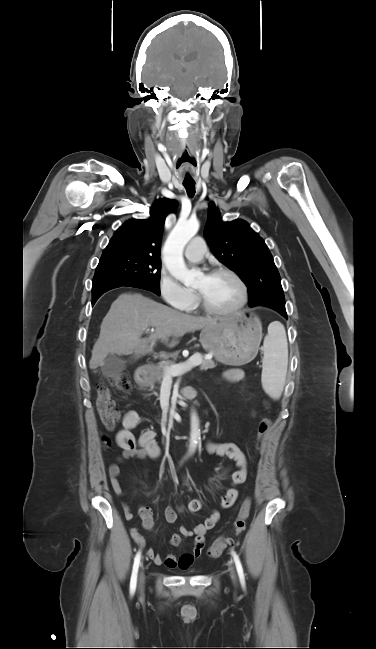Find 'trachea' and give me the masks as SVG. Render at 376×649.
<instances>
[{"label":"trachea","instance_id":"trachea-1","mask_svg":"<svg viewBox=\"0 0 376 649\" xmlns=\"http://www.w3.org/2000/svg\"><path fill=\"white\" fill-rule=\"evenodd\" d=\"M186 192L189 197H193L195 194V182H190V183H183Z\"/></svg>","mask_w":376,"mask_h":649}]
</instances>
